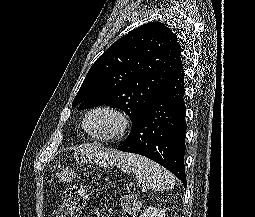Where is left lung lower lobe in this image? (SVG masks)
<instances>
[{"label": "left lung lower lobe", "mask_w": 255, "mask_h": 217, "mask_svg": "<svg viewBox=\"0 0 255 217\" xmlns=\"http://www.w3.org/2000/svg\"><path fill=\"white\" fill-rule=\"evenodd\" d=\"M184 76L182 67L152 99L117 150L157 162L186 186Z\"/></svg>", "instance_id": "1"}]
</instances>
